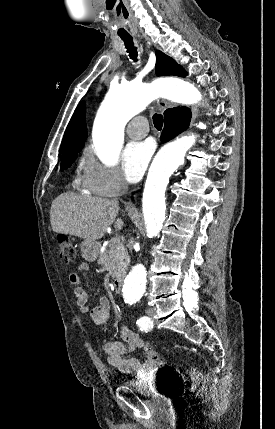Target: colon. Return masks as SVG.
Segmentation results:
<instances>
[{"label":"colon","mask_w":275,"mask_h":429,"mask_svg":"<svg viewBox=\"0 0 275 429\" xmlns=\"http://www.w3.org/2000/svg\"><path fill=\"white\" fill-rule=\"evenodd\" d=\"M59 256L63 263L69 264L74 261L76 250L74 244L66 239L59 240ZM145 354L148 360L158 366L164 365V359L158 355L149 345L146 346ZM202 378L200 369L194 367L190 370L189 378L184 382V387L187 390H194Z\"/></svg>","instance_id":"5ec220e1"}]
</instances>
